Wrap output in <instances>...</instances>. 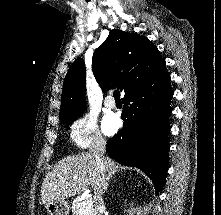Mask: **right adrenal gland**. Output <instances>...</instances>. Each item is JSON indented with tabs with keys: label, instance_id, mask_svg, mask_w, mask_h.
<instances>
[{
	"label": "right adrenal gland",
	"instance_id": "right-adrenal-gland-1",
	"mask_svg": "<svg viewBox=\"0 0 221 215\" xmlns=\"http://www.w3.org/2000/svg\"><path fill=\"white\" fill-rule=\"evenodd\" d=\"M112 177V174H108L107 176V180H106V185H105V190H107L108 186H109V182H110V178Z\"/></svg>",
	"mask_w": 221,
	"mask_h": 215
}]
</instances>
